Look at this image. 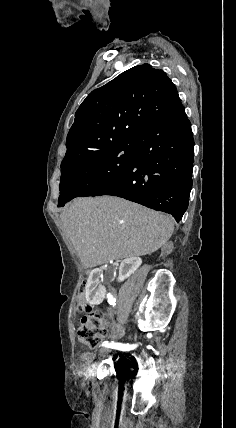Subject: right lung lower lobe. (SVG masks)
Masks as SVG:
<instances>
[{
    "instance_id": "98d812e1",
    "label": "right lung lower lobe",
    "mask_w": 236,
    "mask_h": 428,
    "mask_svg": "<svg viewBox=\"0 0 236 428\" xmlns=\"http://www.w3.org/2000/svg\"><path fill=\"white\" fill-rule=\"evenodd\" d=\"M131 164L92 196L112 195L171 214L179 222L192 188L194 139L183 106L136 139Z\"/></svg>"
}]
</instances>
